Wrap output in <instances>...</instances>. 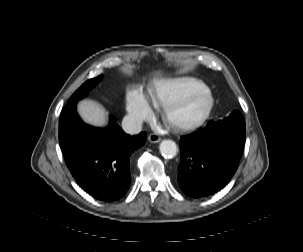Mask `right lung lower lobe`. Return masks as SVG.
Listing matches in <instances>:
<instances>
[{"label": "right lung lower lobe", "mask_w": 303, "mask_h": 252, "mask_svg": "<svg viewBox=\"0 0 303 252\" xmlns=\"http://www.w3.org/2000/svg\"><path fill=\"white\" fill-rule=\"evenodd\" d=\"M68 102L59 122V142L72 176L96 199H120L130 187V155L146 142V133L129 136L110 117L106 128L84 124Z\"/></svg>", "instance_id": "obj_1"}]
</instances>
